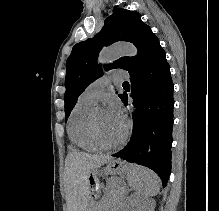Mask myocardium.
<instances>
[{"mask_svg": "<svg viewBox=\"0 0 219 211\" xmlns=\"http://www.w3.org/2000/svg\"><path fill=\"white\" fill-rule=\"evenodd\" d=\"M105 108L104 105H96L93 107V109L91 110L90 116H89V127H90V131L93 135V137L95 138V140L97 142H99L100 144H102L105 147H117L121 144H123L128 136V132H129V126L126 125L125 129L122 133V135L115 141H110L108 140L106 137H104L101 132L98 129L97 126V113L99 110Z\"/></svg>", "mask_w": 219, "mask_h": 211, "instance_id": "obj_1", "label": "myocardium"}]
</instances>
